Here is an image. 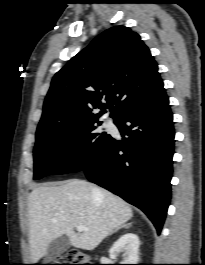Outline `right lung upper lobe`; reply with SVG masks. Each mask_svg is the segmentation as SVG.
I'll use <instances>...</instances> for the list:
<instances>
[{
	"label": "right lung upper lobe",
	"mask_w": 205,
	"mask_h": 265,
	"mask_svg": "<svg viewBox=\"0 0 205 265\" xmlns=\"http://www.w3.org/2000/svg\"><path fill=\"white\" fill-rule=\"evenodd\" d=\"M163 89L157 63L140 36L115 26L55 74L37 131L98 120L106 109L116 120L146 105Z\"/></svg>",
	"instance_id": "1"
}]
</instances>
